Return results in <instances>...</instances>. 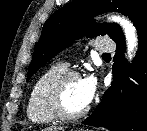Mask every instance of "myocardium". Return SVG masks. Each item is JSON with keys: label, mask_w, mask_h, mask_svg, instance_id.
Returning a JSON list of instances; mask_svg holds the SVG:
<instances>
[{"label": "myocardium", "mask_w": 147, "mask_h": 131, "mask_svg": "<svg viewBox=\"0 0 147 131\" xmlns=\"http://www.w3.org/2000/svg\"><path fill=\"white\" fill-rule=\"evenodd\" d=\"M81 75L75 70H66L51 80L45 92L46 104L50 112L59 120L74 121L84 117L88 111V105L81 111L68 112L63 103V92L66 84L72 79H80Z\"/></svg>", "instance_id": "1"}]
</instances>
